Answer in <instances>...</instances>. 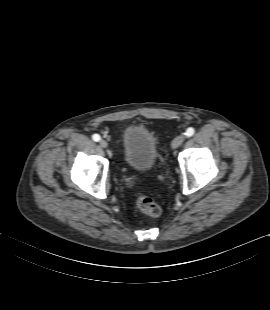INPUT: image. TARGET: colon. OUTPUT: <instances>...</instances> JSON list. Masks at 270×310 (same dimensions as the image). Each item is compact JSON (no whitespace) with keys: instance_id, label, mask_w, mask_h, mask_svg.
<instances>
[{"instance_id":"5ec220e1","label":"colon","mask_w":270,"mask_h":310,"mask_svg":"<svg viewBox=\"0 0 270 310\" xmlns=\"http://www.w3.org/2000/svg\"><path fill=\"white\" fill-rule=\"evenodd\" d=\"M137 206L142 213L151 217H159L162 213L161 206L154 199L145 194L138 195Z\"/></svg>"}]
</instances>
